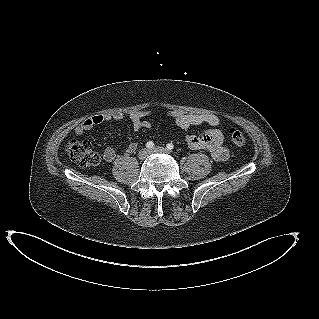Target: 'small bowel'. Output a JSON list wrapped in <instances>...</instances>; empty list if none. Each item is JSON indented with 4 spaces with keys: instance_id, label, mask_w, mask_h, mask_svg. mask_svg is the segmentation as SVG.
<instances>
[{
    "instance_id": "1",
    "label": "small bowel",
    "mask_w": 319,
    "mask_h": 319,
    "mask_svg": "<svg viewBox=\"0 0 319 319\" xmlns=\"http://www.w3.org/2000/svg\"><path fill=\"white\" fill-rule=\"evenodd\" d=\"M166 116L173 119L176 126L181 130L187 131L192 126L207 124L209 129L198 134H187L185 137L188 147L192 150H206L210 153L212 158L216 161L222 162L228 159L229 149L225 145V137L223 132L219 129L220 117L215 114H193L183 113L179 110H169ZM152 115L150 111L137 110L130 113V119L133 127L136 130L148 129L151 127V122L148 118ZM123 118L121 113L114 114H98L87 118L84 122L75 128L77 136L83 135L85 132L91 130L93 127L108 121H119ZM137 144L135 142L129 143L124 151V155H131L135 153ZM119 152L113 147H107L101 158L106 162H112Z\"/></svg>"
}]
</instances>
